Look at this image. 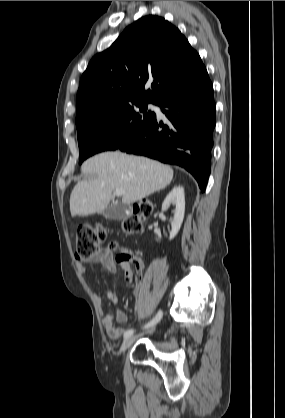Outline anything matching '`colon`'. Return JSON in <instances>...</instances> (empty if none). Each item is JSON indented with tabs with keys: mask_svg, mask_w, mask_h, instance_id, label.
Segmentation results:
<instances>
[{
	"mask_svg": "<svg viewBox=\"0 0 285 418\" xmlns=\"http://www.w3.org/2000/svg\"><path fill=\"white\" fill-rule=\"evenodd\" d=\"M151 208L148 202H141L136 205L133 216L122 221V230L126 235H133L140 231L141 222L150 216ZM106 232L101 226L85 225L78 228L76 234L75 257L79 261L87 262L99 250L101 242L105 239ZM122 262L140 268L141 263L135 256L128 255Z\"/></svg>",
	"mask_w": 285,
	"mask_h": 418,
	"instance_id": "obj_1",
	"label": "colon"
}]
</instances>
